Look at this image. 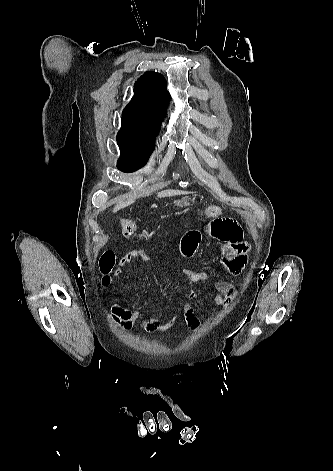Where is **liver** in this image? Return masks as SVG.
Returning a JSON list of instances; mask_svg holds the SVG:
<instances>
[{"label":"liver","mask_w":333,"mask_h":471,"mask_svg":"<svg viewBox=\"0 0 333 471\" xmlns=\"http://www.w3.org/2000/svg\"><path fill=\"white\" fill-rule=\"evenodd\" d=\"M186 192L184 191H179V190H164L161 192L157 193V196L159 198H164V197H171L175 195H180V194H185ZM135 202V198L128 199L126 201H120L119 203L116 204V206L113 208V212H117L120 209H123Z\"/></svg>","instance_id":"obj_1"}]
</instances>
